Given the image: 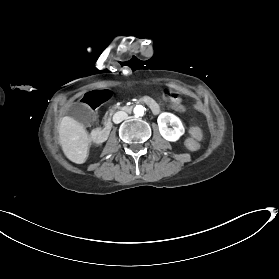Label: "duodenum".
I'll use <instances>...</instances> for the list:
<instances>
[{"label":"duodenum","instance_id":"duodenum-1","mask_svg":"<svg viewBox=\"0 0 279 279\" xmlns=\"http://www.w3.org/2000/svg\"><path fill=\"white\" fill-rule=\"evenodd\" d=\"M147 102L149 105L152 106L153 110L156 113H159L161 111L159 104L151 96L145 95L143 98H141L139 100V103L141 105H144ZM121 110H123L124 112H132V107L123 106V107H121ZM111 119H112V116H108V123L105 125L103 130H102V128H100L98 126L91 128V130L89 132L91 139H93L95 141H101V140L105 141L107 139L106 133H108L113 127Z\"/></svg>","mask_w":279,"mask_h":279}]
</instances>
